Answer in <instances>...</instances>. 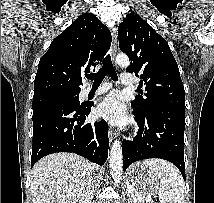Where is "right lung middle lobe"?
<instances>
[{
    "mask_svg": "<svg viewBox=\"0 0 214 203\" xmlns=\"http://www.w3.org/2000/svg\"><path fill=\"white\" fill-rule=\"evenodd\" d=\"M79 93H60L33 99V112L55 104L80 105Z\"/></svg>",
    "mask_w": 214,
    "mask_h": 203,
    "instance_id": "dd1d6c3e",
    "label": "right lung middle lobe"
}]
</instances>
